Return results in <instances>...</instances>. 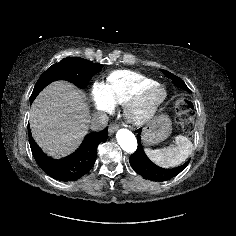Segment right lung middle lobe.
Returning a JSON list of instances; mask_svg holds the SVG:
<instances>
[{
    "label": "right lung middle lobe",
    "mask_w": 236,
    "mask_h": 236,
    "mask_svg": "<svg viewBox=\"0 0 236 236\" xmlns=\"http://www.w3.org/2000/svg\"><path fill=\"white\" fill-rule=\"evenodd\" d=\"M101 64L79 57H67L50 66L38 79L30 97V103L51 82L67 80L79 88H86L93 75L102 70Z\"/></svg>",
    "instance_id": "1"
}]
</instances>
